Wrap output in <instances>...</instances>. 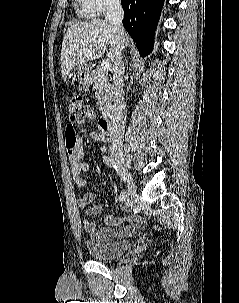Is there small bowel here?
I'll return each instance as SVG.
<instances>
[{"label":"small bowel","mask_w":239,"mask_h":303,"mask_svg":"<svg viewBox=\"0 0 239 303\" xmlns=\"http://www.w3.org/2000/svg\"><path fill=\"white\" fill-rule=\"evenodd\" d=\"M95 117V113L91 111L87 117V120H94ZM81 123L82 122L79 124ZM89 135L93 140L96 141H109L106 136L98 132H90ZM65 147L68 154L72 179L78 188H85L87 186V181L82 176V173L88 172L90 170V166L88 163L83 161L84 141L82 137L76 133L74 126H71L66 131ZM96 197L97 193L91 191L83 194L77 201L79 208L84 210V231L90 236L91 239L96 241H109L117 237H127L132 235L136 229L145 226L146 221L140 216L120 218L115 215H107L104 218L105 227L98 228L91 218L99 215L102 212L103 207L99 204L90 206Z\"/></svg>","instance_id":"c3829d8e"}]
</instances>
